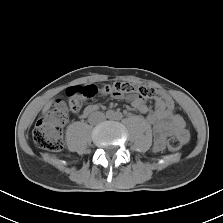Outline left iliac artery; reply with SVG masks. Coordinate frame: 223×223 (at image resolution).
Here are the masks:
<instances>
[{
	"label": "left iliac artery",
	"mask_w": 223,
	"mask_h": 223,
	"mask_svg": "<svg viewBox=\"0 0 223 223\" xmlns=\"http://www.w3.org/2000/svg\"><path fill=\"white\" fill-rule=\"evenodd\" d=\"M122 117H123L122 114L119 112L114 114V119H116V120H120V119H122Z\"/></svg>",
	"instance_id": "1"
}]
</instances>
